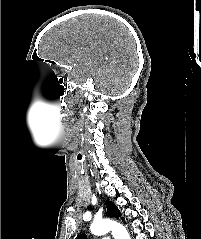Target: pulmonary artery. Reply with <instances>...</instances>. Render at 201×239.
I'll return each instance as SVG.
<instances>
[{
	"instance_id": "obj_1",
	"label": "pulmonary artery",
	"mask_w": 201,
	"mask_h": 239,
	"mask_svg": "<svg viewBox=\"0 0 201 239\" xmlns=\"http://www.w3.org/2000/svg\"><path fill=\"white\" fill-rule=\"evenodd\" d=\"M97 239H110L109 237H101V238H97Z\"/></svg>"
}]
</instances>
